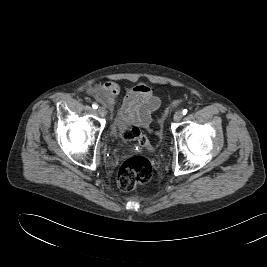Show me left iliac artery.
I'll use <instances>...</instances> for the list:
<instances>
[{"label": "left iliac artery", "mask_w": 267, "mask_h": 267, "mask_svg": "<svg viewBox=\"0 0 267 267\" xmlns=\"http://www.w3.org/2000/svg\"><path fill=\"white\" fill-rule=\"evenodd\" d=\"M182 112H183V115H186L188 113V110L184 109Z\"/></svg>", "instance_id": "obj_1"}]
</instances>
